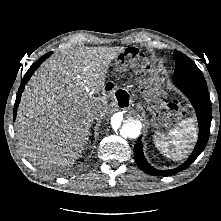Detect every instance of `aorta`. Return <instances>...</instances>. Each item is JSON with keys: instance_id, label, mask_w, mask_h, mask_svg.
<instances>
[{"instance_id": "762f6f07", "label": "aorta", "mask_w": 221, "mask_h": 221, "mask_svg": "<svg viewBox=\"0 0 221 221\" xmlns=\"http://www.w3.org/2000/svg\"><path fill=\"white\" fill-rule=\"evenodd\" d=\"M111 128L123 139H134L140 135L142 121L136 114L118 112L111 119Z\"/></svg>"}]
</instances>
